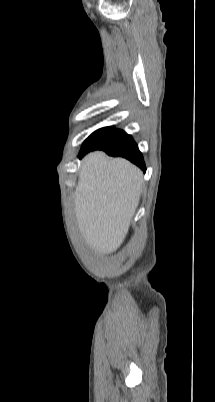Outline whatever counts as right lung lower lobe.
Returning a JSON list of instances; mask_svg holds the SVG:
<instances>
[{"mask_svg":"<svg viewBox=\"0 0 215 402\" xmlns=\"http://www.w3.org/2000/svg\"><path fill=\"white\" fill-rule=\"evenodd\" d=\"M97 149L103 150L111 156H122L139 166L144 172L146 171L143 156L130 135L126 134L118 142L111 145H83L79 156L82 157L87 152Z\"/></svg>","mask_w":215,"mask_h":402,"instance_id":"obj_1","label":"right lung lower lobe"}]
</instances>
